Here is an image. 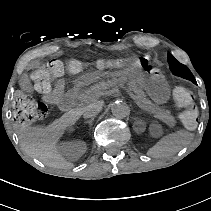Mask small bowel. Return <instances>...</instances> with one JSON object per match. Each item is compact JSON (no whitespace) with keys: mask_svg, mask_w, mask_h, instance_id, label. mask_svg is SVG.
Segmentation results:
<instances>
[{"mask_svg":"<svg viewBox=\"0 0 211 211\" xmlns=\"http://www.w3.org/2000/svg\"><path fill=\"white\" fill-rule=\"evenodd\" d=\"M38 62L34 61L28 66V70H32L38 66ZM22 88L24 90L30 91L31 85L29 79L26 75L23 76L21 82ZM65 90V81L63 79H59L54 84L52 90L44 96L45 101L51 104H58L59 100L63 97Z\"/></svg>","mask_w":211,"mask_h":211,"instance_id":"obj_1","label":"small bowel"}]
</instances>
